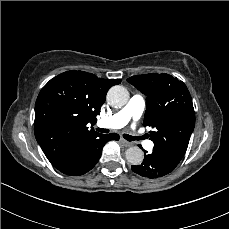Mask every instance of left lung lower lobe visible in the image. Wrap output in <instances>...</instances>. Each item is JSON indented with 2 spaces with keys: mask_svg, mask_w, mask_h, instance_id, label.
<instances>
[{
  "mask_svg": "<svg viewBox=\"0 0 229 229\" xmlns=\"http://www.w3.org/2000/svg\"><path fill=\"white\" fill-rule=\"evenodd\" d=\"M144 153H147L144 151ZM132 170L144 177L155 179L165 176L172 172L174 169L164 166L159 162L154 154H146L143 162L138 166H131Z\"/></svg>",
  "mask_w": 229,
  "mask_h": 229,
  "instance_id": "1",
  "label": "left lung lower lobe"
}]
</instances>
